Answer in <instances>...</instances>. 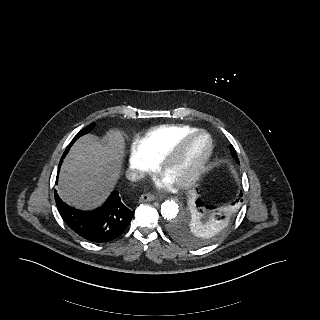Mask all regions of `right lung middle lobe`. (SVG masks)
<instances>
[{
  "instance_id": "dd1d6c3e",
  "label": "right lung middle lobe",
  "mask_w": 320,
  "mask_h": 320,
  "mask_svg": "<svg viewBox=\"0 0 320 320\" xmlns=\"http://www.w3.org/2000/svg\"><path fill=\"white\" fill-rule=\"evenodd\" d=\"M94 127V123H91L90 125H88L87 127H85L84 129H82L75 137L74 139L72 140V142L70 143V145L67 147L66 151L64 152L61 160H63V158L65 157L66 153L69 151L71 145L82 135H85L86 133L90 132ZM61 164V162H60ZM59 164V166H60Z\"/></svg>"
}]
</instances>
